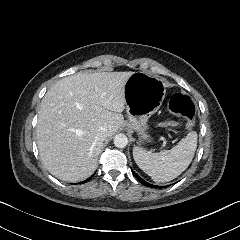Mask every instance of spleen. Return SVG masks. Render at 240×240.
<instances>
[{"label": "spleen", "instance_id": "obj_1", "mask_svg": "<svg viewBox=\"0 0 240 240\" xmlns=\"http://www.w3.org/2000/svg\"><path fill=\"white\" fill-rule=\"evenodd\" d=\"M197 147V133L190 132L170 150L148 153L140 147L133 148V158L138 167L155 182H169L177 178L192 162Z\"/></svg>", "mask_w": 240, "mask_h": 240}]
</instances>
